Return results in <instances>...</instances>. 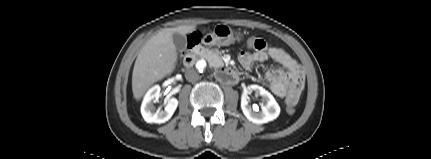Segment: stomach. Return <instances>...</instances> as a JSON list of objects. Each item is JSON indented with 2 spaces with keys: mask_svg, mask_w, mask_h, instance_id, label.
<instances>
[{
  "mask_svg": "<svg viewBox=\"0 0 431 159\" xmlns=\"http://www.w3.org/2000/svg\"><path fill=\"white\" fill-rule=\"evenodd\" d=\"M240 39V33L234 32L225 24H218L213 32L204 36L203 43L206 45L228 46Z\"/></svg>",
  "mask_w": 431,
  "mask_h": 159,
  "instance_id": "0dacf381",
  "label": "stomach"
}]
</instances>
